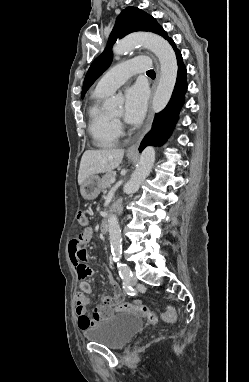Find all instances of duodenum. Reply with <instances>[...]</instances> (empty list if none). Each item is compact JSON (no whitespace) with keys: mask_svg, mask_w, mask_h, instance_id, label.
Instances as JSON below:
<instances>
[{"mask_svg":"<svg viewBox=\"0 0 249 382\" xmlns=\"http://www.w3.org/2000/svg\"><path fill=\"white\" fill-rule=\"evenodd\" d=\"M114 209H115V211H117V212H121L122 207H121L120 204H117V205H115ZM100 228H101V232H102V233L105 234V233L108 232V230H109V217H108V216L105 217V218L101 221V226H100Z\"/></svg>","mask_w":249,"mask_h":382,"instance_id":"410a0bca","label":"duodenum"}]
</instances>
